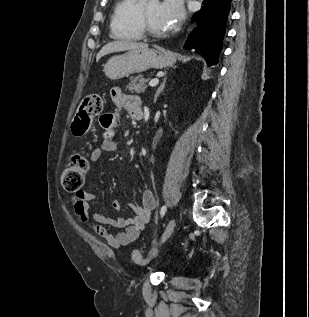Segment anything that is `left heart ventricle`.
Listing matches in <instances>:
<instances>
[{
  "label": "left heart ventricle",
  "mask_w": 309,
  "mask_h": 317,
  "mask_svg": "<svg viewBox=\"0 0 309 317\" xmlns=\"http://www.w3.org/2000/svg\"><path fill=\"white\" fill-rule=\"evenodd\" d=\"M160 3L155 2L149 5H146L143 9L146 14L147 21L150 27L160 33L166 32L168 29L163 22L160 13Z\"/></svg>",
  "instance_id": "obj_1"
}]
</instances>
